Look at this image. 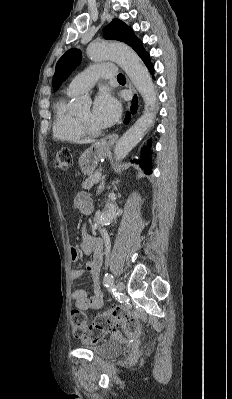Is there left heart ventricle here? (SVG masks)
<instances>
[{
  "label": "left heart ventricle",
  "instance_id": "obj_1",
  "mask_svg": "<svg viewBox=\"0 0 232 399\" xmlns=\"http://www.w3.org/2000/svg\"><path fill=\"white\" fill-rule=\"evenodd\" d=\"M77 116H79V117H81L83 120H85V121L88 123V125H89L91 128H93L94 130L101 131V130H104V129H105L104 127H102V126L99 125L96 121L93 120V118H92V116H91V109H90V107L83 108V109L79 112V114H78Z\"/></svg>",
  "mask_w": 232,
  "mask_h": 399
}]
</instances>
